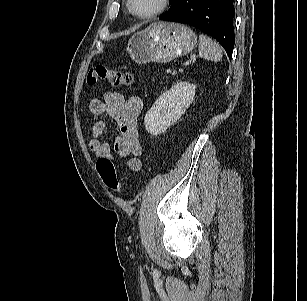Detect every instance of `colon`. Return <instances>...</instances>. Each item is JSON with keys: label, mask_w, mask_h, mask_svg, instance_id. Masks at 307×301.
<instances>
[{"label": "colon", "mask_w": 307, "mask_h": 301, "mask_svg": "<svg viewBox=\"0 0 307 301\" xmlns=\"http://www.w3.org/2000/svg\"><path fill=\"white\" fill-rule=\"evenodd\" d=\"M88 84L98 82L107 83L112 86H130L133 83V75L128 72H120L110 69L104 65H97L87 75ZM97 171L104 184L114 192L121 191V183L118 178L115 164L110 158L101 157L96 163Z\"/></svg>", "instance_id": "5ec220e1"}]
</instances>
